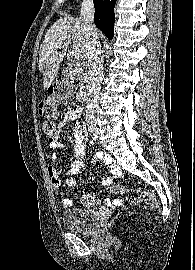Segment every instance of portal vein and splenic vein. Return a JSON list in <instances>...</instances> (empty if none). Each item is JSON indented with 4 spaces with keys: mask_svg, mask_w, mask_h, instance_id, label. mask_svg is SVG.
I'll return each mask as SVG.
<instances>
[{
    "mask_svg": "<svg viewBox=\"0 0 195 270\" xmlns=\"http://www.w3.org/2000/svg\"><path fill=\"white\" fill-rule=\"evenodd\" d=\"M71 57L78 58L82 55V52L78 49H73L69 52Z\"/></svg>",
    "mask_w": 195,
    "mask_h": 270,
    "instance_id": "18ae733b",
    "label": "portal vein and splenic vein"
}]
</instances>
